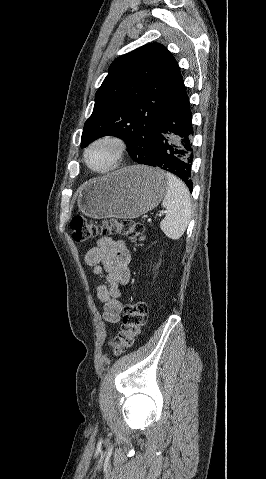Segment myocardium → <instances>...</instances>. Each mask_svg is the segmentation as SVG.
<instances>
[{
    "label": "myocardium",
    "instance_id": "1",
    "mask_svg": "<svg viewBox=\"0 0 266 479\" xmlns=\"http://www.w3.org/2000/svg\"><path fill=\"white\" fill-rule=\"evenodd\" d=\"M109 145L113 148L114 155L111 164L104 169H98L91 165L89 161L90 153L98 146ZM126 151V142L119 136L104 135L93 140L84 152V161L87 167L97 174H107L114 171L122 161Z\"/></svg>",
    "mask_w": 266,
    "mask_h": 479
}]
</instances>
